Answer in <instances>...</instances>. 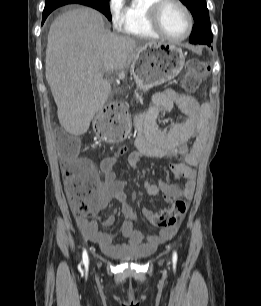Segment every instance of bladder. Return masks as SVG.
I'll return each instance as SVG.
<instances>
[{
    "label": "bladder",
    "instance_id": "obj_1",
    "mask_svg": "<svg viewBox=\"0 0 261 306\" xmlns=\"http://www.w3.org/2000/svg\"><path fill=\"white\" fill-rule=\"evenodd\" d=\"M145 258L144 255L141 254H124L121 256V259L128 262H139Z\"/></svg>",
    "mask_w": 261,
    "mask_h": 306
}]
</instances>
